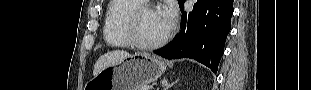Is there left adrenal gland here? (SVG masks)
Returning a JSON list of instances; mask_svg holds the SVG:
<instances>
[{
	"label": "left adrenal gland",
	"instance_id": "a2214340",
	"mask_svg": "<svg viewBox=\"0 0 311 90\" xmlns=\"http://www.w3.org/2000/svg\"><path fill=\"white\" fill-rule=\"evenodd\" d=\"M177 82V80L175 82L169 83L167 79H164L162 81V85H163V90H169V88H171L175 83Z\"/></svg>",
	"mask_w": 311,
	"mask_h": 90
}]
</instances>
